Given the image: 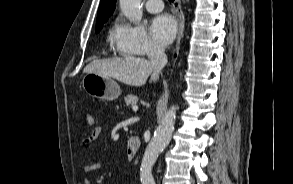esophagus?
<instances>
[{
  "label": "esophagus",
  "instance_id": "obj_1",
  "mask_svg": "<svg viewBox=\"0 0 293 184\" xmlns=\"http://www.w3.org/2000/svg\"><path fill=\"white\" fill-rule=\"evenodd\" d=\"M174 6L176 9V13L178 16V21H179V31H178V35H177V41H176V51L178 52L180 41L184 35L185 17H184V13H183V10L181 7V0H175Z\"/></svg>",
  "mask_w": 293,
  "mask_h": 184
}]
</instances>
